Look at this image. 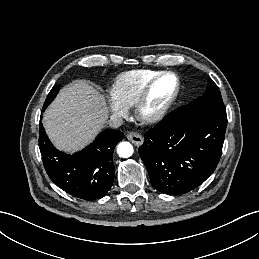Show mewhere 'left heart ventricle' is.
I'll use <instances>...</instances> for the list:
<instances>
[{
    "instance_id": "left-heart-ventricle-1",
    "label": "left heart ventricle",
    "mask_w": 259,
    "mask_h": 259,
    "mask_svg": "<svg viewBox=\"0 0 259 259\" xmlns=\"http://www.w3.org/2000/svg\"><path fill=\"white\" fill-rule=\"evenodd\" d=\"M175 85V78L172 76H166L160 79L150 92L145 105V113L151 114L159 109L171 97Z\"/></svg>"
}]
</instances>
